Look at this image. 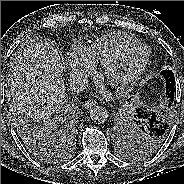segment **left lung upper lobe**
<instances>
[{"mask_svg":"<svg viewBox=\"0 0 184 184\" xmlns=\"http://www.w3.org/2000/svg\"><path fill=\"white\" fill-rule=\"evenodd\" d=\"M127 124L128 133L123 144V152L127 155L148 156L155 152L167 138V136H157L142 118L132 116Z\"/></svg>","mask_w":184,"mask_h":184,"instance_id":"obj_1","label":"left lung upper lobe"}]
</instances>
